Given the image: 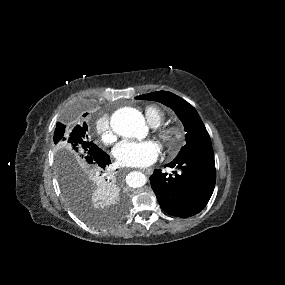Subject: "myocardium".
Listing matches in <instances>:
<instances>
[{
  "label": "myocardium",
  "mask_w": 285,
  "mask_h": 285,
  "mask_svg": "<svg viewBox=\"0 0 285 285\" xmlns=\"http://www.w3.org/2000/svg\"><path fill=\"white\" fill-rule=\"evenodd\" d=\"M156 135L166 150L173 154L182 144L184 131L178 124L158 125Z\"/></svg>",
  "instance_id": "obj_1"
}]
</instances>
